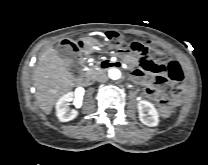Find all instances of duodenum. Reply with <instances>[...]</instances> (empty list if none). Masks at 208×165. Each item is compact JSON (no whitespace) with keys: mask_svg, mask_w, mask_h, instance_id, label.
<instances>
[{"mask_svg":"<svg viewBox=\"0 0 208 165\" xmlns=\"http://www.w3.org/2000/svg\"><path fill=\"white\" fill-rule=\"evenodd\" d=\"M107 68H109V64L106 63V62H103V63L100 65V69H102V70H105V69H107ZM78 80H79V83H80L81 85H88V84H90V83L93 81V77L90 76V75H84V76L79 77Z\"/></svg>","mask_w":208,"mask_h":165,"instance_id":"410a0bca","label":"duodenum"}]
</instances>
